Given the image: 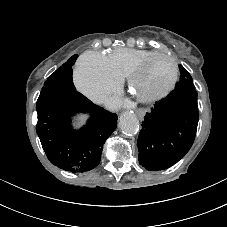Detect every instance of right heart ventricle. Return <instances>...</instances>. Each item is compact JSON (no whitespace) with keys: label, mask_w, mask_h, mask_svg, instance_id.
I'll return each instance as SVG.
<instances>
[{"label":"right heart ventricle","mask_w":227,"mask_h":227,"mask_svg":"<svg viewBox=\"0 0 227 227\" xmlns=\"http://www.w3.org/2000/svg\"><path fill=\"white\" fill-rule=\"evenodd\" d=\"M157 53L155 50L116 48L107 56L112 70L122 79L128 78L130 72L145 58Z\"/></svg>","instance_id":"1"}]
</instances>
